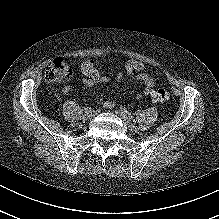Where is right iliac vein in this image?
<instances>
[{"label": "right iliac vein", "instance_id": "obj_1", "mask_svg": "<svg viewBox=\"0 0 219 219\" xmlns=\"http://www.w3.org/2000/svg\"><path fill=\"white\" fill-rule=\"evenodd\" d=\"M92 117H93L92 112L85 113L84 116H83V118H84L85 120H89V119H91Z\"/></svg>", "mask_w": 219, "mask_h": 219}]
</instances>
